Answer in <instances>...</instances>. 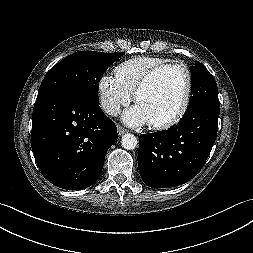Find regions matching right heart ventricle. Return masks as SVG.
<instances>
[{
  "mask_svg": "<svg viewBox=\"0 0 253 253\" xmlns=\"http://www.w3.org/2000/svg\"><path fill=\"white\" fill-rule=\"evenodd\" d=\"M170 62L156 56H136L128 59L114 69L115 80L129 93L133 94L142 77L152 68Z\"/></svg>",
  "mask_w": 253,
  "mask_h": 253,
  "instance_id": "right-heart-ventricle-1",
  "label": "right heart ventricle"
}]
</instances>
